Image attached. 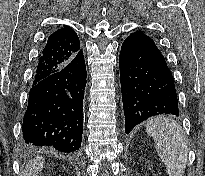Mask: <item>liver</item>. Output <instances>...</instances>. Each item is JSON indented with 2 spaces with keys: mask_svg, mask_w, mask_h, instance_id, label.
I'll return each mask as SVG.
<instances>
[{
  "mask_svg": "<svg viewBox=\"0 0 205 176\" xmlns=\"http://www.w3.org/2000/svg\"><path fill=\"white\" fill-rule=\"evenodd\" d=\"M44 164L43 157H37L26 165L23 176H37Z\"/></svg>",
  "mask_w": 205,
  "mask_h": 176,
  "instance_id": "obj_1",
  "label": "liver"
}]
</instances>
